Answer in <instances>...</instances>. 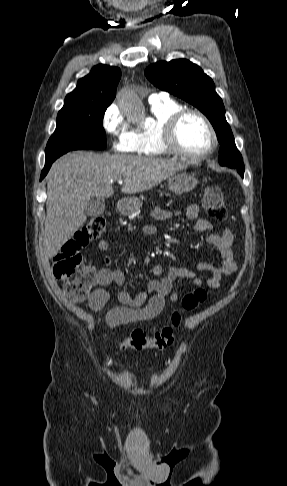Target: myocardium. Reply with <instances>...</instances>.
Returning a JSON list of instances; mask_svg holds the SVG:
<instances>
[{
    "label": "myocardium",
    "mask_w": 287,
    "mask_h": 486,
    "mask_svg": "<svg viewBox=\"0 0 287 486\" xmlns=\"http://www.w3.org/2000/svg\"><path fill=\"white\" fill-rule=\"evenodd\" d=\"M187 115H196L207 127L210 134L211 143L206 150L201 152H189L179 146L176 136L177 129L182 119ZM160 136L163 146L169 153L189 159L207 157L212 154L218 146V137L214 126L209 118L202 111L196 108H181L179 111L172 114L162 126Z\"/></svg>",
    "instance_id": "myocardium-1"
}]
</instances>
